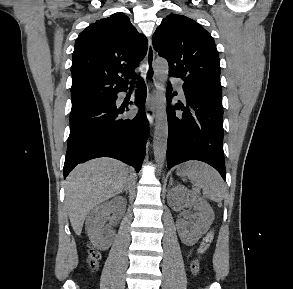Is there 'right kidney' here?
<instances>
[{"label":"right kidney","mask_w":293,"mask_h":289,"mask_svg":"<svg viewBox=\"0 0 293 289\" xmlns=\"http://www.w3.org/2000/svg\"><path fill=\"white\" fill-rule=\"evenodd\" d=\"M126 209V200L115 197L109 202L96 206L86 220V230L90 240L99 248L105 249L111 243L113 231L105 225V218L113 211L121 214Z\"/></svg>","instance_id":"ca27d5eb"}]
</instances>
